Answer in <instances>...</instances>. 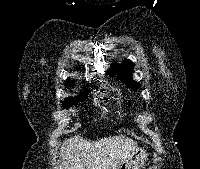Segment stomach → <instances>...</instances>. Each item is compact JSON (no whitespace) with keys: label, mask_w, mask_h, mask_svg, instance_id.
<instances>
[{"label":"stomach","mask_w":200,"mask_h":169,"mask_svg":"<svg viewBox=\"0 0 200 169\" xmlns=\"http://www.w3.org/2000/svg\"><path fill=\"white\" fill-rule=\"evenodd\" d=\"M146 160V152L138 149L118 169H141Z\"/></svg>","instance_id":"1"}]
</instances>
